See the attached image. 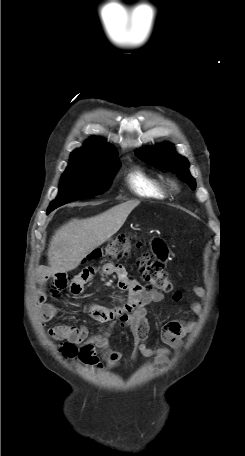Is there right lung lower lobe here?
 I'll use <instances>...</instances> for the list:
<instances>
[{"instance_id": "98d812e1", "label": "right lung lower lobe", "mask_w": 245, "mask_h": 456, "mask_svg": "<svg viewBox=\"0 0 245 456\" xmlns=\"http://www.w3.org/2000/svg\"><path fill=\"white\" fill-rule=\"evenodd\" d=\"M51 211H53L52 209L51 210H47V214H49Z\"/></svg>"}]
</instances>
